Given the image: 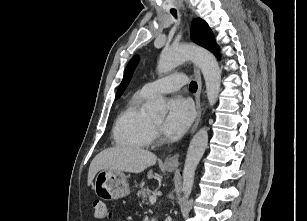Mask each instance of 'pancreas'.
<instances>
[{"instance_id":"1","label":"pancreas","mask_w":307,"mask_h":221,"mask_svg":"<svg viewBox=\"0 0 307 221\" xmlns=\"http://www.w3.org/2000/svg\"><path fill=\"white\" fill-rule=\"evenodd\" d=\"M150 192H151L150 189L148 187H146V188H142L141 190H139L137 195H138V197H141L142 200L144 201L145 198L147 197V195L150 194Z\"/></svg>"}]
</instances>
